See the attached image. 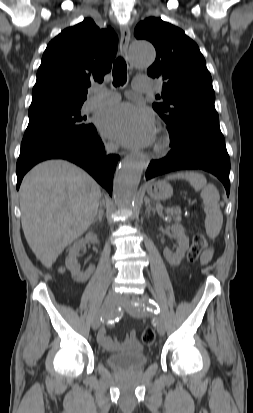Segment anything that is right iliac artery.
I'll use <instances>...</instances> for the list:
<instances>
[{
  "mask_svg": "<svg viewBox=\"0 0 253 413\" xmlns=\"http://www.w3.org/2000/svg\"><path fill=\"white\" fill-rule=\"evenodd\" d=\"M122 315H123V312L121 311V309H118L113 314L106 317L105 319H102L101 317V321H107L108 324H112L115 321H118L122 317Z\"/></svg>",
  "mask_w": 253,
  "mask_h": 413,
  "instance_id": "obj_1",
  "label": "right iliac artery"
}]
</instances>
